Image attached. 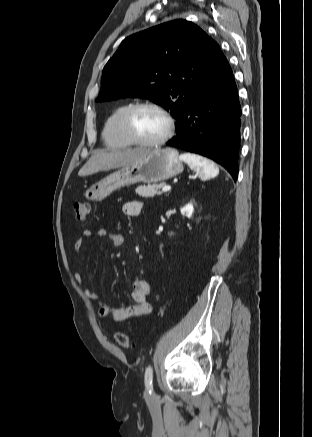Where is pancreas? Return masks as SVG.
I'll list each match as a JSON object with an SVG mask.
<instances>
[{
    "label": "pancreas",
    "instance_id": "pancreas-1",
    "mask_svg": "<svg viewBox=\"0 0 312 437\" xmlns=\"http://www.w3.org/2000/svg\"><path fill=\"white\" fill-rule=\"evenodd\" d=\"M162 186H163V184H160V185H148V186L143 185V186H139V187L136 188V193L139 196H142L144 198H151V197H154L155 195H160L161 194V192L158 191V189L160 187H162Z\"/></svg>",
    "mask_w": 312,
    "mask_h": 437
}]
</instances>
